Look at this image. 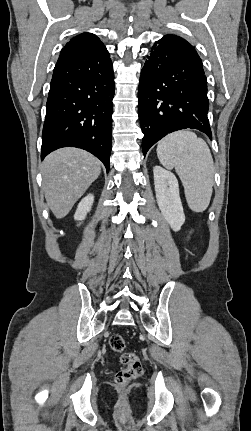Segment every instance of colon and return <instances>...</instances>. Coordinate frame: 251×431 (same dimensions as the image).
Returning <instances> with one entry per match:
<instances>
[{
  "mask_svg": "<svg viewBox=\"0 0 251 431\" xmlns=\"http://www.w3.org/2000/svg\"><path fill=\"white\" fill-rule=\"evenodd\" d=\"M109 345L114 352L122 353L125 349V340L121 335L114 334L109 339ZM120 362L123 368L115 374V382L120 387L127 386L132 380L142 375V363L134 353H123Z\"/></svg>",
  "mask_w": 251,
  "mask_h": 431,
  "instance_id": "5ec220e1",
  "label": "colon"
}]
</instances>
